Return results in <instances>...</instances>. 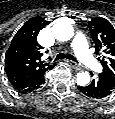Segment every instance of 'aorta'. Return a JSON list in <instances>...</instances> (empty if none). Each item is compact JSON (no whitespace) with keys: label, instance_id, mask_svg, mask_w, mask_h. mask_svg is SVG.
Listing matches in <instances>:
<instances>
[{"label":"aorta","instance_id":"obj_1","mask_svg":"<svg viewBox=\"0 0 115 119\" xmlns=\"http://www.w3.org/2000/svg\"><path fill=\"white\" fill-rule=\"evenodd\" d=\"M53 34L59 41H68L74 36V29L67 22H58L53 27ZM76 77L79 86H85L90 82V75L86 71L77 73Z\"/></svg>","mask_w":115,"mask_h":119}]
</instances>
